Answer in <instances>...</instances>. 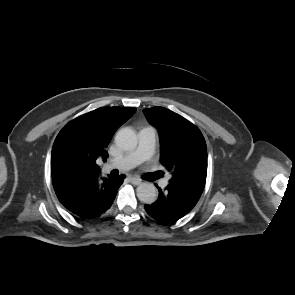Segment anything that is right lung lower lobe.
I'll return each mask as SVG.
<instances>
[{"mask_svg":"<svg viewBox=\"0 0 295 295\" xmlns=\"http://www.w3.org/2000/svg\"><path fill=\"white\" fill-rule=\"evenodd\" d=\"M125 175L99 179L98 175L82 180H58L53 182L61 204L82 220L100 217L112 205Z\"/></svg>","mask_w":295,"mask_h":295,"instance_id":"1","label":"right lung lower lobe"}]
</instances>
